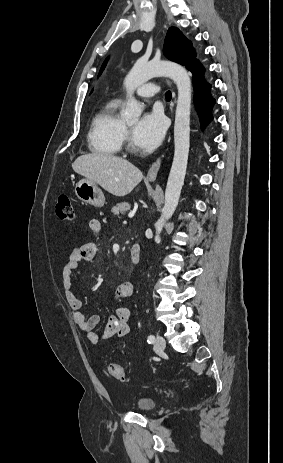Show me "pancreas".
Wrapping results in <instances>:
<instances>
[{
  "label": "pancreas",
  "instance_id": "obj_1",
  "mask_svg": "<svg viewBox=\"0 0 283 463\" xmlns=\"http://www.w3.org/2000/svg\"><path fill=\"white\" fill-rule=\"evenodd\" d=\"M131 206L129 203L127 202H122V203H118L116 206H114L111 210V212L115 215H118L119 213L120 214H125L126 212H128L130 210Z\"/></svg>",
  "mask_w": 283,
  "mask_h": 463
}]
</instances>
